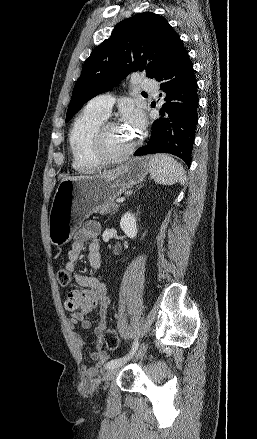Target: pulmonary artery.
Returning <instances> with one entry per match:
<instances>
[{
    "label": "pulmonary artery",
    "instance_id": "obj_1",
    "mask_svg": "<svg viewBox=\"0 0 257 439\" xmlns=\"http://www.w3.org/2000/svg\"><path fill=\"white\" fill-rule=\"evenodd\" d=\"M135 82L138 83L140 89L143 90L144 93H149L154 97H157L158 85L155 80L146 77L145 75H138ZM113 104V96L109 93H105L91 99L87 103L86 108L107 117L111 112Z\"/></svg>",
    "mask_w": 257,
    "mask_h": 439
}]
</instances>
